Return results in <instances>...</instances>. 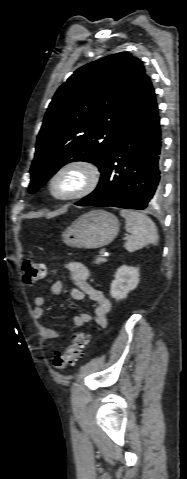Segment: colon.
<instances>
[{"label":"colon","instance_id":"1","mask_svg":"<svg viewBox=\"0 0 187 479\" xmlns=\"http://www.w3.org/2000/svg\"><path fill=\"white\" fill-rule=\"evenodd\" d=\"M22 269L24 272V282L27 285H35L44 279L46 275V266L34 259L23 261ZM90 341V335L83 332H75L68 346L57 352L52 364L56 370H64L74 364L83 354V347Z\"/></svg>","mask_w":187,"mask_h":479}]
</instances>
